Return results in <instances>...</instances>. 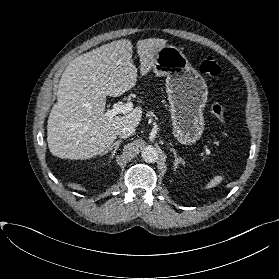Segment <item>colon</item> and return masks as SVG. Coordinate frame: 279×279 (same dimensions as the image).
Wrapping results in <instances>:
<instances>
[{
    "label": "colon",
    "mask_w": 279,
    "mask_h": 279,
    "mask_svg": "<svg viewBox=\"0 0 279 279\" xmlns=\"http://www.w3.org/2000/svg\"><path fill=\"white\" fill-rule=\"evenodd\" d=\"M200 71L211 77H218L221 74V67L217 59L213 56L204 58L199 66ZM212 115L221 123L225 122L224 107L220 102H214L211 105Z\"/></svg>",
    "instance_id": "obj_1"
}]
</instances>
